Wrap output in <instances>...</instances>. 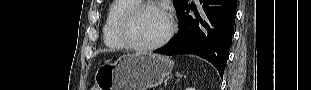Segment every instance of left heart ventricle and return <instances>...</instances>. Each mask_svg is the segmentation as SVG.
Returning <instances> with one entry per match:
<instances>
[{
  "label": "left heart ventricle",
  "mask_w": 311,
  "mask_h": 90,
  "mask_svg": "<svg viewBox=\"0 0 311 90\" xmlns=\"http://www.w3.org/2000/svg\"><path fill=\"white\" fill-rule=\"evenodd\" d=\"M168 30L165 14L157 9L143 10L133 22L130 34L140 45H150L160 40Z\"/></svg>",
  "instance_id": "obj_1"
}]
</instances>
